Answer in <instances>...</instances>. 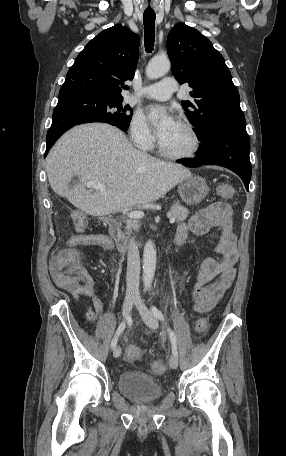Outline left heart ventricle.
<instances>
[{
    "mask_svg": "<svg viewBox=\"0 0 286 456\" xmlns=\"http://www.w3.org/2000/svg\"><path fill=\"white\" fill-rule=\"evenodd\" d=\"M160 142L165 150L175 154L186 153L193 145L191 135L179 124Z\"/></svg>",
    "mask_w": 286,
    "mask_h": 456,
    "instance_id": "left-heart-ventricle-1",
    "label": "left heart ventricle"
}]
</instances>
